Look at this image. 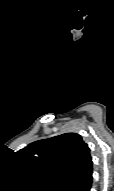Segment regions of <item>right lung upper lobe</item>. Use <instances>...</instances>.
<instances>
[{
	"instance_id": "cb5924a9",
	"label": "right lung upper lobe",
	"mask_w": 114,
	"mask_h": 191,
	"mask_svg": "<svg viewBox=\"0 0 114 191\" xmlns=\"http://www.w3.org/2000/svg\"><path fill=\"white\" fill-rule=\"evenodd\" d=\"M18 158L41 188L59 187L93 172L88 145L76 133L35 141L17 152Z\"/></svg>"
}]
</instances>
